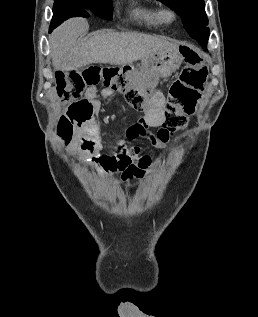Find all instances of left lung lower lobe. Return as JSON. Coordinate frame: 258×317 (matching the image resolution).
<instances>
[{"label":"left lung lower lobe","instance_id":"1","mask_svg":"<svg viewBox=\"0 0 258 317\" xmlns=\"http://www.w3.org/2000/svg\"><path fill=\"white\" fill-rule=\"evenodd\" d=\"M193 38H196V40L200 43V45L202 46V48L204 50H207V47H206V44H207V41H208V38H209V35H198V36H195Z\"/></svg>","mask_w":258,"mask_h":317}]
</instances>
